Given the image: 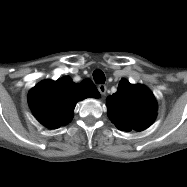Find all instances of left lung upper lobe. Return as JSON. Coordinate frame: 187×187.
Segmentation results:
<instances>
[{
  "label": "left lung upper lobe",
  "mask_w": 187,
  "mask_h": 187,
  "mask_svg": "<svg viewBox=\"0 0 187 187\" xmlns=\"http://www.w3.org/2000/svg\"><path fill=\"white\" fill-rule=\"evenodd\" d=\"M156 112L157 102L152 92L126 79L120 81L116 93L107 97L108 117L120 130H144L154 122Z\"/></svg>",
  "instance_id": "1"
}]
</instances>
